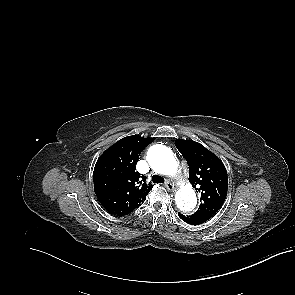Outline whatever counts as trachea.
<instances>
[{"label": "trachea", "instance_id": "1", "mask_svg": "<svg viewBox=\"0 0 295 295\" xmlns=\"http://www.w3.org/2000/svg\"><path fill=\"white\" fill-rule=\"evenodd\" d=\"M152 181L153 183H164V178L162 176L159 175H153L152 176Z\"/></svg>", "mask_w": 295, "mask_h": 295}]
</instances>
